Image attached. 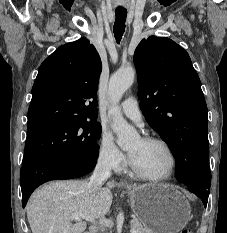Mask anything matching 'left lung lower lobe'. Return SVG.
Listing matches in <instances>:
<instances>
[{
  "mask_svg": "<svg viewBox=\"0 0 227 233\" xmlns=\"http://www.w3.org/2000/svg\"><path fill=\"white\" fill-rule=\"evenodd\" d=\"M188 189L191 192H193L194 194H196L202 200V202H203V204H204L205 207L207 206V201H208L209 193L204 192V191H200V190H198L196 188H193V187H188Z\"/></svg>",
  "mask_w": 227,
  "mask_h": 233,
  "instance_id": "left-lung-lower-lobe-1",
  "label": "left lung lower lobe"
}]
</instances>
